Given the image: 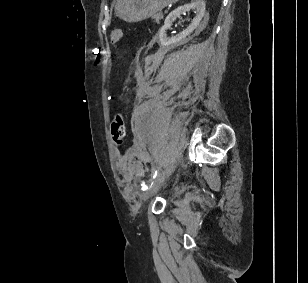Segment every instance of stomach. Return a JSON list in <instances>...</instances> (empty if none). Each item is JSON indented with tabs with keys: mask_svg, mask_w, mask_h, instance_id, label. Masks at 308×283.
Segmentation results:
<instances>
[{
	"mask_svg": "<svg viewBox=\"0 0 308 283\" xmlns=\"http://www.w3.org/2000/svg\"><path fill=\"white\" fill-rule=\"evenodd\" d=\"M178 0H115L116 15L126 22L145 20Z\"/></svg>",
	"mask_w": 308,
	"mask_h": 283,
	"instance_id": "stomach-1",
	"label": "stomach"
}]
</instances>
